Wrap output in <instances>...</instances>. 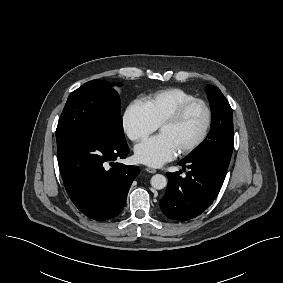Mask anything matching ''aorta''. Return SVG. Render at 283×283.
<instances>
[{
	"mask_svg": "<svg viewBox=\"0 0 283 283\" xmlns=\"http://www.w3.org/2000/svg\"><path fill=\"white\" fill-rule=\"evenodd\" d=\"M150 183H151V186L154 189L161 190V189L166 187L167 179H166L165 176H163L161 174H156V175L152 176Z\"/></svg>",
	"mask_w": 283,
	"mask_h": 283,
	"instance_id": "obj_1",
	"label": "aorta"
}]
</instances>
